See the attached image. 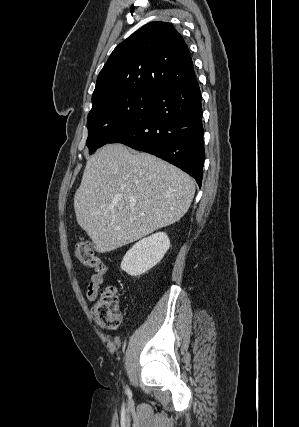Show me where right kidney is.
Wrapping results in <instances>:
<instances>
[{"label": "right kidney", "instance_id": "right-kidney-1", "mask_svg": "<svg viewBox=\"0 0 299 427\" xmlns=\"http://www.w3.org/2000/svg\"><path fill=\"white\" fill-rule=\"evenodd\" d=\"M169 248L170 240L165 232L152 234L125 254L121 269L131 276L142 275L159 263Z\"/></svg>", "mask_w": 299, "mask_h": 427}]
</instances>
